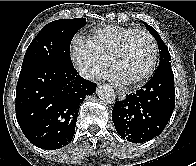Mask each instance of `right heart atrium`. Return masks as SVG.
<instances>
[{
	"mask_svg": "<svg viewBox=\"0 0 196 166\" xmlns=\"http://www.w3.org/2000/svg\"><path fill=\"white\" fill-rule=\"evenodd\" d=\"M71 57L79 72L86 78H93L109 66V61L97 53L88 40L74 38Z\"/></svg>",
	"mask_w": 196,
	"mask_h": 166,
	"instance_id": "d8ad5b80",
	"label": "right heart atrium"
}]
</instances>
